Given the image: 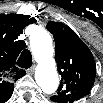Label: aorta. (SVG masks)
<instances>
[{"instance_id": "762f6f07", "label": "aorta", "mask_w": 103, "mask_h": 103, "mask_svg": "<svg viewBox=\"0 0 103 103\" xmlns=\"http://www.w3.org/2000/svg\"><path fill=\"white\" fill-rule=\"evenodd\" d=\"M30 47L37 62L36 83L44 93L52 94L58 88L59 78L49 33L41 27H36L30 36Z\"/></svg>"}]
</instances>
